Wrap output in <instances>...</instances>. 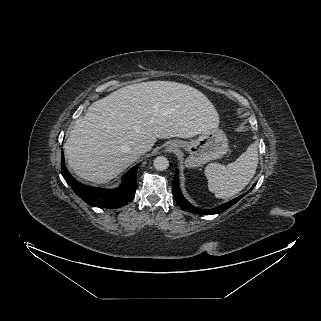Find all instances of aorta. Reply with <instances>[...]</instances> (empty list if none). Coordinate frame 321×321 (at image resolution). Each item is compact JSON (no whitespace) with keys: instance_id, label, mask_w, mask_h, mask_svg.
<instances>
[{"instance_id":"aorta-1","label":"aorta","mask_w":321,"mask_h":321,"mask_svg":"<svg viewBox=\"0 0 321 321\" xmlns=\"http://www.w3.org/2000/svg\"><path fill=\"white\" fill-rule=\"evenodd\" d=\"M154 168L163 171L166 170L169 167V161L164 156H158L153 161Z\"/></svg>"}]
</instances>
